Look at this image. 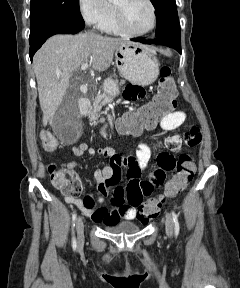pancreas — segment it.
Wrapping results in <instances>:
<instances>
[{
  "mask_svg": "<svg viewBox=\"0 0 240 288\" xmlns=\"http://www.w3.org/2000/svg\"><path fill=\"white\" fill-rule=\"evenodd\" d=\"M120 83H124V80H121ZM109 101V98L105 94L98 93L94 99L93 106L88 111V116L97 119L98 113L100 112L103 105Z\"/></svg>",
  "mask_w": 240,
  "mask_h": 288,
  "instance_id": "pancreas-1",
  "label": "pancreas"
}]
</instances>
